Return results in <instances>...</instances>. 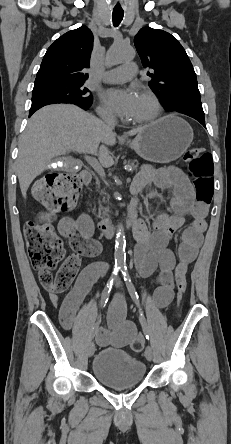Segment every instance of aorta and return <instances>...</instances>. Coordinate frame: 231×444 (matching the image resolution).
Masks as SVG:
<instances>
[{
  "mask_svg": "<svg viewBox=\"0 0 231 444\" xmlns=\"http://www.w3.org/2000/svg\"><path fill=\"white\" fill-rule=\"evenodd\" d=\"M133 58V48L123 41L115 42L108 52L106 62L110 65H117L122 62L131 60ZM125 233L124 227L120 223L117 227L115 237V262L117 265H121L125 262Z\"/></svg>",
  "mask_w": 231,
  "mask_h": 444,
  "instance_id": "aorta-1",
  "label": "aorta"
}]
</instances>
